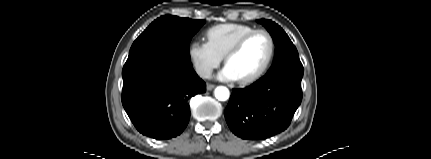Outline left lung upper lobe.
<instances>
[{"instance_id":"obj_1","label":"left lung upper lobe","mask_w":431,"mask_h":159,"mask_svg":"<svg viewBox=\"0 0 431 159\" xmlns=\"http://www.w3.org/2000/svg\"><path fill=\"white\" fill-rule=\"evenodd\" d=\"M257 22L270 32L276 46L274 61L269 71L284 67L303 68L297 49L284 30L271 20L261 19Z\"/></svg>"}]
</instances>
